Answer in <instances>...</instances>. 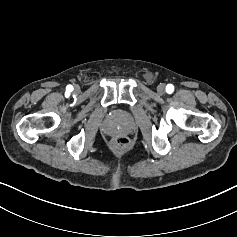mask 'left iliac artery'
Returning a JSON list of instances; mask_svg holds the SVG:
<instances>
[{
	"instance_id": "1",
	"label": "left iliac artery",
	"mask_w": 237,
	"mask_h": 237,
	"mask_svg": "<svg viewBox=\"0 0 237 237\" xmlns=\"http://www.w3.org/2000/svg\"><path fill=\"white\" fill-rule=\"evenodd\" d=\"M173 91H174V86H173L172 84H168V85L166 86V92H167L168 94H171Z\"/></svg>"
}]
</instances>
